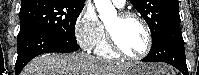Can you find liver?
<instances>
[{"label": "liver", "mask_w": 199, "mask_h": 75, "mask_svg": "<svg viewBox=\"0 0 199 75\" xmlns=\"http://www.w3.org/2000/svg\"><path fill=\"white\" fill-rule=\"evenodd\" d=\"M129 67L102 61L83 52L50 53L34 58L21 75H125Z\"/></svg>", "instance_id": "6515ba94"}]
</instances>
